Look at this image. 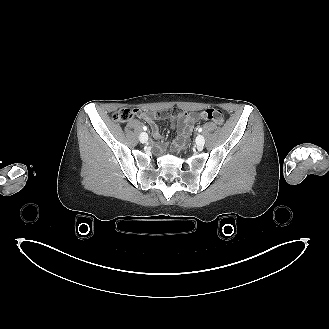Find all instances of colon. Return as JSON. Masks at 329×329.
Masks as SVG:
<instances>
[{
  "label": "colon",
  "mask_w": 329,
  "mask_h": 329,
  "mask_svg": "<svg viewBox=\"0 0 329 329\" xmlns=\"http://www.w3.org/2000/svg\"><path fill=\"white\" fill-rule=\"evenodd\" d=\"M142 112L139 109L131 110V109H121L118 112L112 115V120L114 122H127L129 121L134 114H138ZM200 117L204 120L214 121L215 123L222 125L224 123V114L215 108H209L200 113Z\"/></svg>",
  "instance_id": "obj_1"
}]
</instances>
